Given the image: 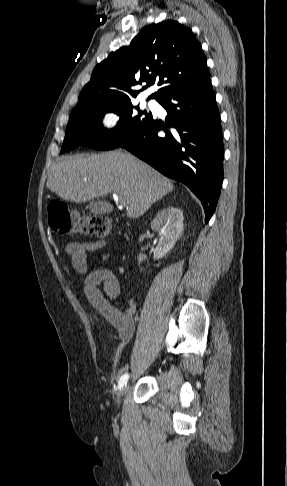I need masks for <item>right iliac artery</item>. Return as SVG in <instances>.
Instances as JSON below:
<instances>
[{"mask_svg":"<svg viewBox=\"0 0 287 486\" xmlns=\"http://www.w3.org/2000/svg\"><path fill=\"white\" fill-rule=\"evenodd\" d=\"M128 378H129L128 373L123 374V375L120 377V380H119V383H118V387H119V388H122L124 385H126V383H127V381H128Z\"/></svg>","mask_w":287,"mask_h":486,"instance_id":"1","label":"right iliac artery"}]
</instances>
